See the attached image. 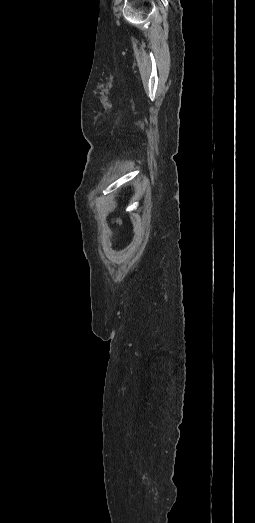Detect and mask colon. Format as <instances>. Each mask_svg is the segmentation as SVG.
I'll return each mask as SVG.
<instances>
[{
  "instance_id": "colon-1",
  "label": "colon",
  "mask_w": 255,
  "mask_h": 523,
  "mask_svg": "<svg viewBox=\"0 0 255 523\" xmlns=\"http://www.w3.org/2000/svg\"><path fill=\"white\" fill-rule=\"evenodd\" d=\"M115 222H116V224H118V225L120 226V225L122 224L121 217H117V218L115 219Z\"/></svg>"
}]
</instances>
